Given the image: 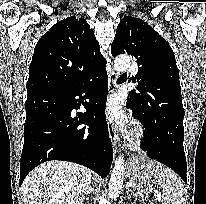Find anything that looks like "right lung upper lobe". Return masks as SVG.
I'll list each match as a JSON object with an SVG mask.
<instances>
[{
	"mask_svg": "<svg viewBox=\"0 0 206 204\" xmlns=\"http://www.w3.org/2000/svg\"><path fill=\"white\" fill-rule=\"evenodd\" d=\"M105 65L87 21L69 17L52 26L37 42L27 93L75 87Z\"/></svg>",
	"mask_w": 206,
	"mask_h": 204,
	"instance_id": "1",
	"label": "right lung upper lobe"
}]
</instances>
